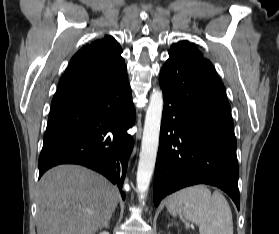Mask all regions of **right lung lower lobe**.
Segmentation results:
<instances>
[{
  "instance_id": "1",
  "label": "right lung lower lobe",
  "mask_w": 279,
  "mask_h": 234,
  "mask_svg": "<svg viewBox=\"0 0 279 234\" xmlns=\"http://www.w3.org/2000/svg\"><path fill=\"white\" fill-rule=\"evenodd\" d=\"M135 108L127 70L92 89L52 100L39 178L59 164H80L106 176L122 191L133 147L127 130L134 125Z\"/></svg>"
}]
</instances>
